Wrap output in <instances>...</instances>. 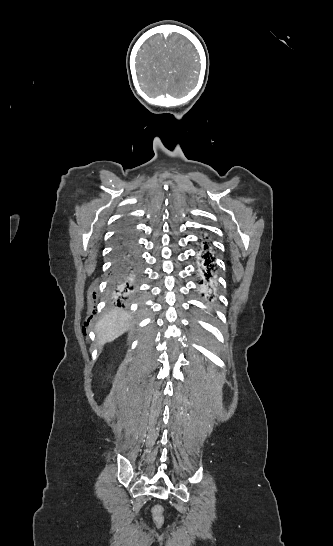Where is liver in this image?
<instances>
[{
  "label": "liver",
  "mask_w": 333,
  "mask_h": 546,
  "mask_svg": "<svg viewBox=\"0 0 333 546\" xmlns=\"http://www.w3.org/2000/svg\"><path fill=\"white\" fill-rule=\"evenodd\" d=\"M133 316L123 309L114 308L104 313L95 327L99 345L112 342L129 328Z\"/></svg>",
  "instance_id": "liver-1"
}]
</instances>
